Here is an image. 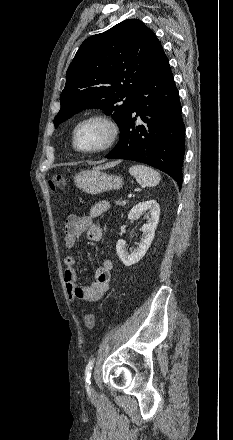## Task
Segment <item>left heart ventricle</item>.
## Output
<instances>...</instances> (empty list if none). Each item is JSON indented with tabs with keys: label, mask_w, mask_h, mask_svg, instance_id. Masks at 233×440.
Segmentation results:
<instances>
[{
	"label": "left heart ventricle",
	"mask_w": 233,
	"mask_h": 440,
	"mask_svg": "<svg viewBox=\"0 0 233 440\" xmlns=\"http://www.w3.org/2000/svg\"><path fill=\"white\" fill-rule=\"evenodd\" d=\"M109 135L107 127L98 121L83 124L77 134L78 146L90 150L102 146Z\"/></svg>",
	"instance_id": "1"
}]
</instances>
